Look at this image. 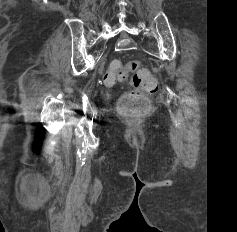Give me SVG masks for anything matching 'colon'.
<instances>
[{
  "label": "colon",
  "instance_id": "colon-1",
  "mask_svg": "<svg viewBox=\"0 0 237 232\" xmlns=\"http://www.w3.org/2000/svg\"><path fill=\"white\" fill-rule=\"evenodd\" d=\"M130 72L133 73L131 85L134 90L121 98L119 111L127 117H140L150 110L146 95L158 89L157 79L148 70L139 68L137 62L123 64L119 60H114L105 73L104 82L113 85L117 81L124 80Z\"/></svg>",
  "mask_w": 237,
  "mask_h": 232
}]
</instances>
